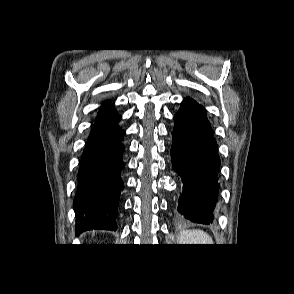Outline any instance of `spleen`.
I'll return each instance as SVG.
<instances>
[{"mask_svg":"<svg viewBox=\"0 0 294 294\" xmlns=\"http://www.w3.org/2000/svg\"><path fill=\"white\" fill-rule=\"evenodd\" d=\"M180 244H213L212 238L202 230H183L178 236Z\"/></svg>","mask_w":294,"mask_h":294,"instance_id":"1","label":"spleen"}]
</instances>
